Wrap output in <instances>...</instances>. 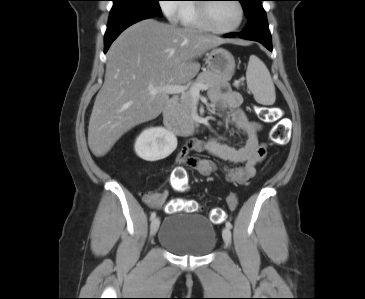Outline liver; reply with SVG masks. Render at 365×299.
Masks as SVG:
<instances>
[{
    "instance_id": "liver-1",
    "label": "liver",
    "mask_w": 365,
    "mask_h": 299,
    "mask_svg": "<svg viewBox=\"0 0 365 299\" xmlns=\"http://www.w3.org/2000/svg\"><path fill=\"white\" fill-rule=\"evenodd\" d=\"M225 42L153 19L127 28L107 53L105 81L88 127L91 152L97 157L106 155L124 133L158 117L169 96L164 92L151 95L149 88L191 81L200 70L194 59Z\"/></svg>"
}]
</instances>
